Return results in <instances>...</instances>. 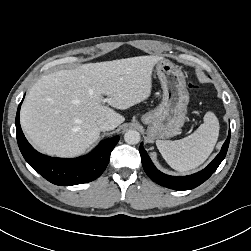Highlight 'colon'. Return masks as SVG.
Returning a JSON list of instances; mask_svg holds the SVG:
<instances>
[{"label": "colon", "instance_id": "colon-1", "mask_svg": "<svg viewBox=\"0 0 251 251\" xmlns=\"http://www.w3.org/2000/svg\"><path fill=\"white\" fill-rule=\"evenodd\" d=\"M188 87L191 91H196L199 89V85L196 82H190Z\"/></svg>", "mask_w": 251, "mask_h": 251}]
</instances>
